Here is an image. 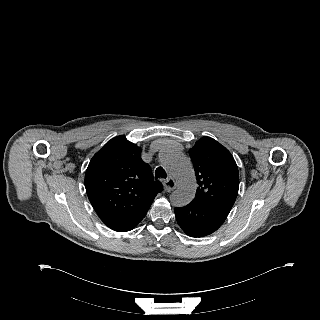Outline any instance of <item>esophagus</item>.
<instances>
[{
    "label": "esophagus",
    "instance_id": "esophagus-1",
    "mask_svg": "<svg viewBox=\"0 0 320 320\" xmlns=\"http://www.w3.org/2000/svg\"><path fill=\"white\" fill-rule=\"evenodd\" d=\"M176 186L177 184L173 178H168L164 183V187L167 191H173Z\"/></svg>",
    "mask_w": 320,
    "mask_h": 320
}]
</instances>
